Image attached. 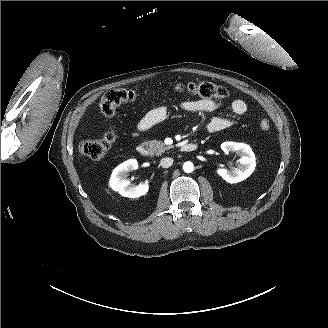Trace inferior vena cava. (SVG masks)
Returning <instances> with one entry per match:
<instances>
[{"instance_id": "602c4592", "label": "inferior vena cava", "mask_w": 328, "mask_h": 328, "mask_svg": "<svg viewBox=\"0 0 328 328\" xmlns=\"http://www.w3.org/2000/svg\"><path fill=\"white\" fill-rule=\"evenodd\" d=\"M172 164H173V158L171 157L162 158L160 161V165L163 168H169Z\"/></svg>"}]
</instances>
